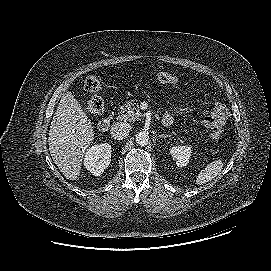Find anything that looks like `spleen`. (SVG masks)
I'll return each mask as SVG.
<instances>
[{"label":"spleen","mask_w":271,"mask_h":271,"mask_svg":"<svg viewBox=\"0 0 271 271\" xmlns=\"http://www.w3.org/2000/svg\"><path fill=\"white\" fill-rule=\"evenodd\" d=\"M224 166L222 160L218 159L209 163L203 170L199 172L196 177L195 183L197 185H203L213 180L217 175L220 174Z\"/></svg>","instance_id":"3e777b00"}]
</instances>
